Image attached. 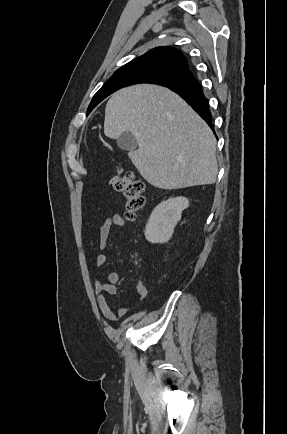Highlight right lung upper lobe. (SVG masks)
I'll return each instance as SVG.
<instances>
[{"mask_svg":"<svg viewBox=\"0 0 287 434\" xmlns=\"http://www.w3.org/2000/svg\"><path fill=\"white\" fill-rule=\"evenodd\" d=\"M141 68H154L165 70L179 76L175 81H162L158 85L167 86L183 79L190 73L186 59L181 52L172 47H157L144 55L127 63L125 66L118 69L115 73L126 72Z\"/></svg>","mask_w":287,"mask_h":434,"instance_id":"1","label":"right lung upper lobe"}]
</instances>
